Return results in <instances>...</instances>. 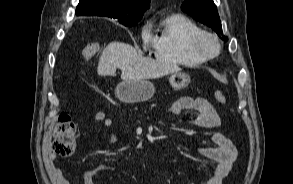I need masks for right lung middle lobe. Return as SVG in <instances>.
<instances>
[{"label": "right lung middle lobe", "instance_id": "right-lung-middle-lobe-1", "mask_svg": "<svg viewBox=\"0 0 293 184\" xmlns=\"http://www.w3.org/2000/svg\"><path fill=\"white\" fill-rule=\"evenodd\" d=\"M139 20L136 21H126V22H122L121 24L125 25V26H133L135 24L138 23Z\"/></svg>", "mask_w": 293, "mask_h": 184}]
</instances>
